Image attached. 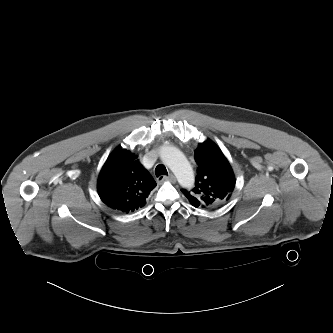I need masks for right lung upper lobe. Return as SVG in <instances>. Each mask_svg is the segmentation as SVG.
I'll list each match as a JSON object with an SVG mask.
<instances>
[{
    "label": "right lung upper lobe",
    "instance_id": "right-lung-upper-lobe-1",
    "mask_svg": "<svg viewBox=\"0 0 333 333\" xmlns=\"http://www.w3.org/2000/svg\"><path fill=\"white\" fill-rule=\"evenodd\" d=\"M156 182L129 150L117 147L102 167L97 190L110 208L123 213L133 212L146 204Z\"/></svg>",
    "mask_w": 333,
    "mask_h": 333
}]
</instances>
